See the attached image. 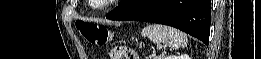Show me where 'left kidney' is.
Returning a JSON list of instances; mask_svg holds the SVG:
<instances>
[{
    "label": "left kidney",
    "instance_id": "obj_1",
    "mask_svg": "<svg viewBox=\"0 0 261 59\" xmlns=\"http://www.w3.org/2000/svg\"><path fill=\"white\" fill-rule=\"evenodd\" d=\"M165 59H190V57L186 54L179 55V56L170 55V56L166 57Z\"/></svg>",
    "mask_w": 261,
    "mask_h": 59
}]
</instances>
